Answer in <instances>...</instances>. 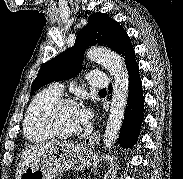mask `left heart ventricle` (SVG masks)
Here are the masks:
<instances>
[{
	"label": "left heart ventricle",
	"mask_w": 183,
	"mask_h": 179,
	"mask_svg": "<svg viewBox=\"0 0 183 179\" xmlns=\"http://www.w3.org/2000/svg\"><path fill=\"white\" fill-rule=\"evenodd\" d=\"M57 128L62 132H75L81 129L79 107L66 105L61 108L56 119Z\"/></svg>",
	"instance_id": "obj_1"
}]
</instances>
